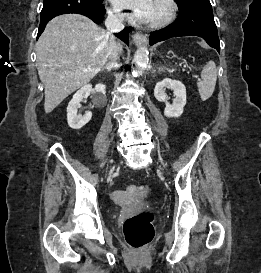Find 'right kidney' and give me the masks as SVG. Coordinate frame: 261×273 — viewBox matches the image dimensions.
<instances>
[{"instance_id": "ca27d5eb", "label": "right kidney", "mask_w": 261, "mask_h": 273, "mask_svg": "<svg viewBox=\"0 0 261 273\" xmlns=\"http://www.w3.org/2000/svg\"><path fill=\"white\" fill-rule=\"evenodd\" d=\"M93 91L92 85L87 84L84 85L81 89H79L73 96L72 100L69 102L67 107V120L68 125L72 129H81L84 125H86L91 117V112H86L85 115H78V108L81 106V101L84 98H87L90 93ZM94 91L97 95V99L104 100L106 94V86L104 84H97L94 88Z\"/></svg>"}]
</instances>
